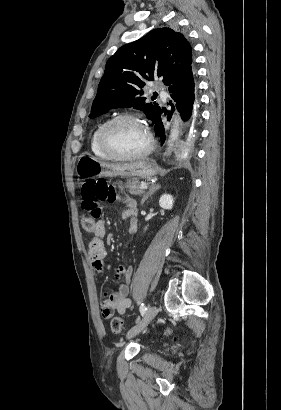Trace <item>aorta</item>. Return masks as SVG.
Here are the masks:
<instances>
[{
    "label": "aorta",
    "mask_w": 281,
    "mask_h": 410,
    "mask_svg": "<svg viewBox=\"0 0 281 410\" xmlns=\"http://www.w3.org/2000/svg\"><path fill=\"white\" fill-rule=\"evenodd\" d=\"M181 117L179 114H176L173 117V125L170 131V136L168 140V150H171L174 146V143L178 140L180 135V127H181Z\"/></svg>",
    "instance_id": "762f6f07"
}]
</instances>
